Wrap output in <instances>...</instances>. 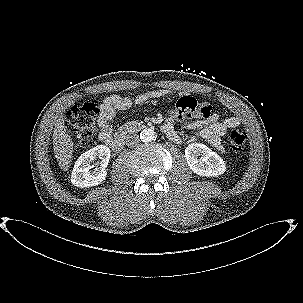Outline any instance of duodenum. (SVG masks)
Returning a JSON list of instances; mask_svg holds the SVG:
<instances>
[{"mask_svg":"<svg viewBox=\"0 0 303 303\" xmlns=\"http://www.w3.org/2000/svg\"><path fill=\"white\" fill-rule=\"evenodd\" d=\"M145 126L140 125V124H130L127 126V128L121 132L117 137L115 138H111L108 140V145L115 151H120L124 145V141H125V137L127 135V133L129 132H133V131H139L144 129ZM163 130V128H162ZM163 132L168 136V137H172L173 134L169 133V132H165L163 130Z\"/></svg>","mask_w":303,"mask_h":303,"instance_id":"duodenum-1","label":"duodenum"}]
</instances>
